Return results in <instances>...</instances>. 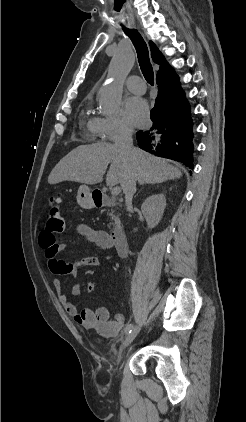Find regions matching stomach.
<instances>
[{"mask_svg":"<svg viewBox=\"0 0 246 422\" xmlns=\"http://www.w3.org/2000/svg\"><path fill=\"white\" fill-rule=\"evenodd\" d=\"M77 202L85 209H91L95 206L92 191L87 185H81L79 187L77 192Z\"/></svg>","mask_w":246,"mask_h":422,"instance_id":"stomach-1","label":"stomach"}]
</instances>
